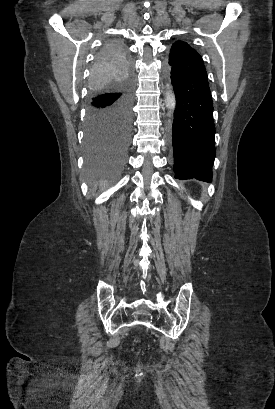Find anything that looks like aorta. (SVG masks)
Returning a JSON list of instances; mask_svg holds the SVG:
<instances>
[{
	"instance_id": "1",
	"label": "aorta",
	"mask_w": 275,
	"mask_h": 409,
	"mask_svg": "<svg viewBox=\"0 0 275 409\" xmlns=\"http://www.w3.org/2000/svg\"><path fill=\"white\" fill-rule=\"evenodd\" d=\"M170 88V86H169ZM175 104H176V100H175V94L173 92V90H166L165 92V106H167V108H169L170 112H172V110H174L175 108Z\"/></svg>"
}]
</instances>
